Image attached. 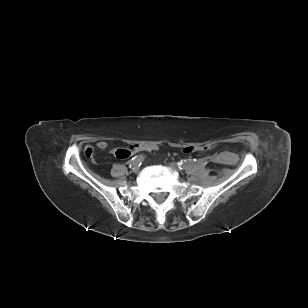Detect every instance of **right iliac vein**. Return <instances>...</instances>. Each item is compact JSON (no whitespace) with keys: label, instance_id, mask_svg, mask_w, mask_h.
I'll list each match as a JSON object with an SVG mask.
<instances>
[{"label":"right iliac vein","instance_id":"63e3f726","mask_svg":"<svg viewBox=\"0 0 308 308\" xmlns=\"http://www.w3.org/2000/svg\"><path fill=\"white\" fill-rule=\"evenodd\" d=\"M139 171H140V168L138 166L133 168V172L134 173H139Z\"/></svg>","mask_w":308,"mask_h":308}]
</instances>
